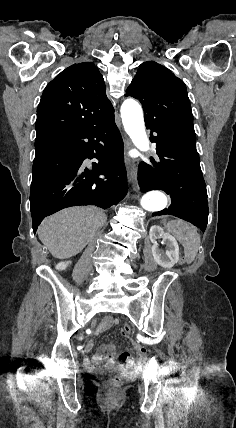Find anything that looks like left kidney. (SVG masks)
I'll return each mask as SVG.
<instances>
[{
	"instance_id": "left-kidney-1",
	"label": "left kidney",
	"mask_w": 236,
	"mask_h": 428,
	"mask_svg": "<svg viewBox=\"0 0 236 428\" xmlns=\"http://www.w3.org/2000/svg\"><path fill=\"white\" fill-rule=\"evenodd\" d=\"M150 240L153 244L152 254L156 264L162 266V268H173L174 264H177L179 260V246L170 234H164L163 228L160 226H152L150 230ZM163 238L164 244H166V252L159 250L156 240Z\"/></svg>"
}]
</instances>
